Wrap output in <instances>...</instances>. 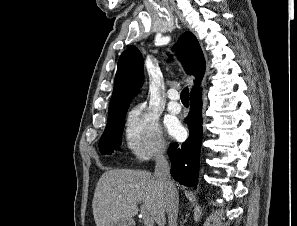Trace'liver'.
I'll return each instance as SVG.
<instances>
[{"label": "liver", "instance_id": "liver-1", "mask_svg": "<svg viewBox=\"0 0 297 226\" xmlns=\"http://www.w3.org/2000/svg\"><path fill=\"white\" fill-rule=\"evenodd\" d=\"M138 203L144 204L159 226L165 225V194L154 175L132 169L106 171L92 201L96 226H112L120 219L134 217Z\"/></svg>", "mask_w": 297, "mask_h": 226}]
</instances>
